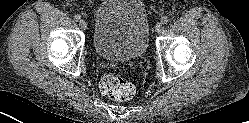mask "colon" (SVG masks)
Here are the masks:
<instances>
[{"label": "colon", "instance_id": "obj_1", "mask_svg": "<svg viewBox=\"0 0 249 123\" xmlns=\"http://www.w3.org/2000/svg\"><path fill=\"white\" fill-rule=\"evenodd\" d=\"M99 88L104 97L115 101L129 100L135 94L134 85L117 75L105 76Z\"/></svg>", "mask_w": 249, "mask_h": 123}]
</instances>
